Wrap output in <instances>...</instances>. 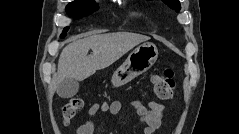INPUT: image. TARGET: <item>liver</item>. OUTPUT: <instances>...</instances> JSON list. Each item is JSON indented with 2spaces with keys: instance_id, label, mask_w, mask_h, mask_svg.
<instances>
[{
  "instance_id": "6515ba94",
  "label": "liver",
  "mask_w": 239,
  "mask_h": 134,
  "mask_svg": "<svg viewBox=\"0 0 239 134\" xmlns=\"http://www.w3.org/2000/svg\"><path fill=\"white\" fill-rule=\"evenodd\" d=\"M149 40L148 36L129 32L97 34L76 40L61 52L57 83L72 78L84 80L97 70L104 69L138 44ZM91 55H87L89 50Z\"/></svg>"
}]
</instances>
